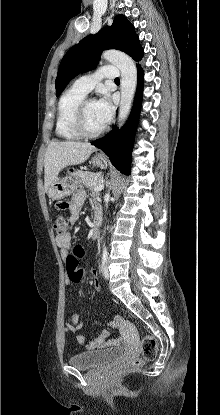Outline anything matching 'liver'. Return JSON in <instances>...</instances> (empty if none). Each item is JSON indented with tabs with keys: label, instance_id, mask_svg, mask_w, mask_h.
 <instances>
[{
	"label": "liver",
	"instance_id": "obj_1",
	"mask_svg": "<svg viewBox=\"0 0 220 415\" xmlns=\"http://www.w3.org/2000/svg\"><path fill=\"white\" fill-rule=\"evenodd\" d=\"M95 151L96 148L90 143L76 141L51 142L48 145L44 159L45 191L47 192L60 171L67 166L85 162Z\"/></svg>",
	"mask_w": 220,
	"mask_h": 415
}]
</instances>
